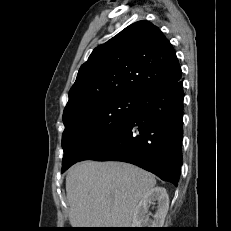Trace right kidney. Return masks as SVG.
Returning a JSON list of instances; mask_svg holds the SVG:
<instances>
[{
  "mask_svg": "<svg viewBox=\"0 0 231 231\" xmlns=\"http://www.w3.org/2000/svg\"><path fill=\"white\" fill-rule=\"evenodd\" d=\"M157 204L156 212L149 219L148 208ZM169 208V196L163 187H155L148 191L135 208L132 220L133 228H162Z\"/></svg>",
  "mask_w": 231,
  "mask_h": 231,
  "instance_id": "right-kidney-1",
  "label": "right kidney"
}]
</instances>
